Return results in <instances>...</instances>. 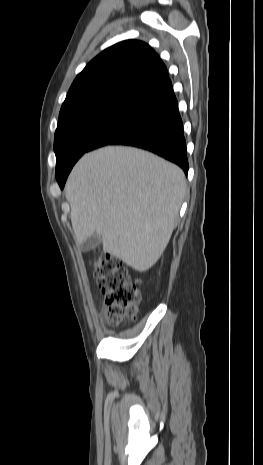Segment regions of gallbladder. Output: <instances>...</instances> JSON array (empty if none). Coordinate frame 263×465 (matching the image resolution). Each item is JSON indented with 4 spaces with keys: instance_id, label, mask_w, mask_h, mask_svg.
<instances>
[{
    "instance_id": "gallbladder-1",
    "label": "gallbladder",
    "mask_w": 263,
    "mask_h": 465,
    "mask_svg": "<svg viewBox=\"0 0 263 465\" xmlns=\"http://www.w3.org/2000/svg\"><path fill=\"white\" fill-rule=\"evenodd\" d=\"M101 236L98 235L97 233L92 234L90 237H88L86 240H84L81 243V250L83 252H89L92 250L95 246L101 243Z\"/></svg>"
}]
</instances>
